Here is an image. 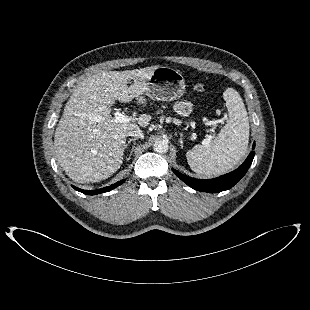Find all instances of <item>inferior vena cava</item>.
<instances>
[{
    "label": "inferior vena cava",
    "instance_id": "1",
    "mask_svg": "<svg viewBox=\"0 0 310 310\" xmlns=\"http://www.w3.org/2000/svg\"><path fill=\"white\" fill-rule=\"evenodd\" d=\"M127 136H134V137H138L141 139L144 138V134L139 128L128 131Z\"/></svg>",
    "mask_w": 310,
    "mask_h": 310
}]
</instances>
